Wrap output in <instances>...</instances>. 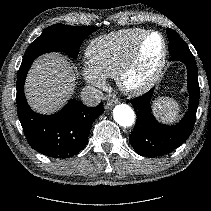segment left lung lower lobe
Listing matches in <instances>:
<instances>
[{"label":"left lung lower lobe","instance_id":"0a47b994","mask_svg":"<svg viewBox=\"0 0 211 211\" xmlns=\"http://www.w3.org/2000/svg\"><path fill=\"white\" fill-rule=\"evenodd\" d=\"M168 38L170 60L180 61L187 68L189 109L179 123L169 126L159 123L151 113L150 101L153 89L131 101L137 120L129 140L139 155L149 158L167 154L189 138L199 105V83L195 58L189 49H180L183 40L177 32L168 33Z\"/></svg>","mask_w":211,"mask_h":211}]
</instances>
